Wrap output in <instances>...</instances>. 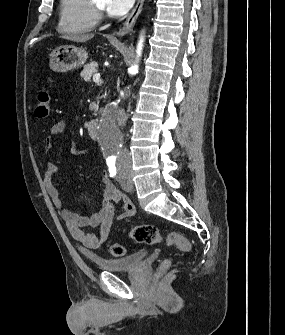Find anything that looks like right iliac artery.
Wrapping results in <instances>:
<instances>
[{
  "label": "right iliac artery",
  "mask_w": 285,
  "mask_h": 335,
  "mask_svg": "<svg viewBox=\"0 0 285 335\" xmlns=\"http://www.w3.org/2000/svg\"><path fill=\"white\" fill-rule=\"evenodd\" d=\"M108 167H109V174L110 177H115L116 176V167H115V163L110 162L107 163Z\"/></svg>",
  "instance_id": "obj_1"
}]
</instances>
